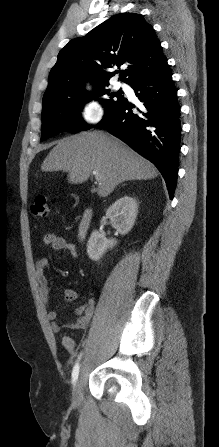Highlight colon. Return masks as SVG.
Listing matches in <instances>:
<instances>
[{
	"label": "colon",
	"instance_id": "colon-1",
	"mask_svg": "<svg viewBox=\"0 0 219 447\" xmlns=\"http://www.w3.org/2000/svg\"><path fill=\"white\" fill-rule=\"evenodd\" d=\"M30 211L35 218H47L49 216L47 197L37 196L31 205Z\"/></svg>",
	"mask_w": 219,
	"mask_h": 447
}]
</instances>
